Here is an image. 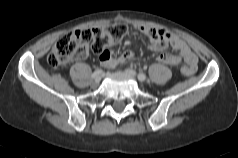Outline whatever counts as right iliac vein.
Masks as SVG:
<instances>
[{
	"label": "right iliac vein",
	"instance_id": "obj_1",
	"mask_svg": "<svg viewBox=\"0 0 238 158\" xmlns=\"http://www.w3.org/2000/svg\"><path fill=\"white\" fill-rule=\"evenodd\" d=\"M96 83H99L100 81H101V76L99 75V76H97V77H95V80H94Z\"/></svg>",
	"mask_w": 238,
	"mask_h": 158
}]
</instances>
